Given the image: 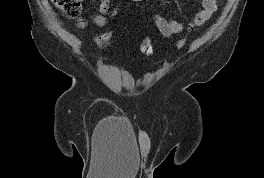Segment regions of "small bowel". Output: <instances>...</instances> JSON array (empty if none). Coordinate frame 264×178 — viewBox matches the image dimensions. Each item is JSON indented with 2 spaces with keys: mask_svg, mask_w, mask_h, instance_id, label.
<instances>
[{
  "mask_svg": "<svg viewBox=\"0 0 264 178\" xmlns=\"http://www.w3.org/2000/svg\"><path fill=\"white\" fill-rule=\"evenodd\" d=\"M83 1V0H82ZM135 3H142L144 0H132ZM202 8L196 13L192 23L188 26V31H193L202 26L214 15L218 8L217 0H201ZM119 8H111V0H99V10L91 16V21L98 27H104L108 24L109 18L118 15ZM154 24L158 31L164 37H171L181 33L184 30V24L175 19L165 18L157 13L152 14ZM87 19L84 16L76 20V27L83 29L87 25Z\"/></svg>",
  "mask_w": 264,
  "mask_h": 178,
  "instance_id": "c3829d8e",
  "label": "small bowel"
}]
</instances>
